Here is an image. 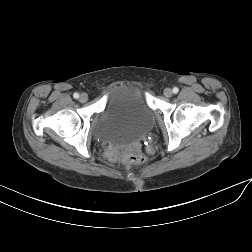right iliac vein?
Segmentation results:
<instances>
[{"instance_id": "obj_1", "label": "right iliac vein", "mask_w": 252, "mask_h": 252, "mask_svg": "<svg viewBox=\"0 0 252 252\" xmlns=\"http://www.w3.org/2000/svg\"><path fill=\"white\" fill-rule=\"evenodd\" d=\"M80 102L85 103L88 100V95L86 93H82L79 98Z\"/></svg>"}]
</instances>
